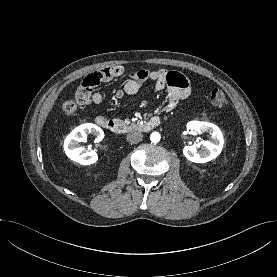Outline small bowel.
Returning a JSON list of instances; mask_svg holds the SVG:
<instances>
[{
	"mask_svg": "<svg viewBox=\"0 0 277 277\" xmlns=\"http://www.w3.org/2000/svg\"><path fill=\"white\" fill-rule=\"evenodd\" d=\"M124 69L121 66H112L97 70L85 77L82 84L77 88L75 98L78 104L88 105L93 103L100 105L104 97L100 92H94L93 88L119 78L123 75ZM153 81L157 92L166 91V109H174L178 103L186 99L191 92L189 80L180 72L168 71L164 68L156 70L137 69L130 74V78L125 82L123 88L115 92V97L120 99L125 94L134 95L141 88L145 81ZM105 118L97 115L95 121Z\"/></svg>",
	"mask_w": 277,
	"mask_h": 277,
	"instance_id": "small-bowel-1",
	"label": "small bowel"
}]
</instances>
